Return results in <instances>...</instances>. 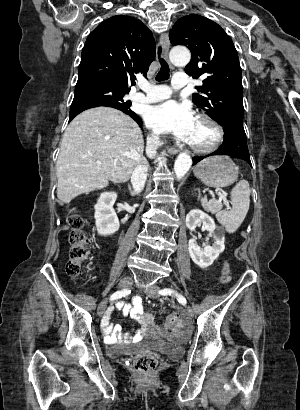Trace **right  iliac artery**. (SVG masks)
Instances as JSON below:
<instances>
[{"mask_svg":"<svg viewBox=\"0 0 300 410\" xmlns=\"http://www.w3.org/2000/svg\"><path fill=\"white\" fill-rule=\"evenodd\" d=\"M130 293H131V290L129 289H123V290L117 291L111 295L110 300H116V299L125 297L129 295Z\"/></svg>","mask_w":300,"mask_h":410,"instance_id":"1","label":"right iliac artery"}]
</instances>
